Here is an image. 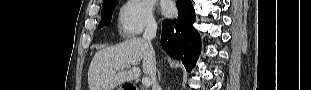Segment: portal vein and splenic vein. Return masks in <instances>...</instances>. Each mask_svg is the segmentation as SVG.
Listing matches in <instances>:
<instances>
[{
	"label": "portal vein and splenic vein",
	"mask_w": 311,
	"mask_h": 90,
	"mask_svg": "<svg viewBox=\"0 0 311 90\" xmlns=\"http://www.w3.org/2000/svg\"><path fill=\"white\" fill-rule=\"evenodd\" d=\"M131 66H127L125 67L126 69H129ZM142 84L145 88H148L149 86H151V79L149 77H144L142 79Z\"/></svg>",
	"instance_id": "obj_1"
}]
</instances>
